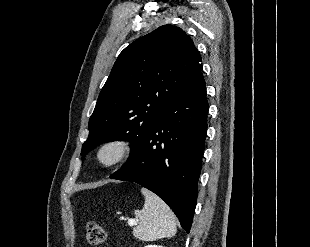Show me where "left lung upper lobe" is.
Returning a JSON list of instances; mask_svg holds the SVG:
<instances>
[{"label":"left lung upper lobe","instance_id":"left-lung-upper-lobe-1","mask_svg":"<svg viewBox=\"0 0 310 247\" xmlns=\"http://www.w3.org/2000/svg\"><path fill=\"white\" fill-rule=\"evenodd\" d=\"M201 71L200 54L181 28L163 25L132 42L99 94L81 155L103 142L126 140L130 159L166 107Z\"/></svg>","mask_w":310,"mask_h":247}]
</instances>
